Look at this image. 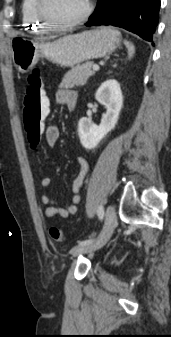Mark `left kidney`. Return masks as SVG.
<instances>
[{
	"instance_id": "1",
	"label": "left kidney",
	"mask_w": 171,
	"mask_h": 337,
	"mask_svg": "<svg viewBox=\"0 0 171 337\" xmlns=\"http://www.w3.org/2000/svg\"><path fill=\"white\" fill-rule=\"evenodd\" d=\"M95 98L106 107V114L102 117L99 126L86 117L79 120L78 135L82 146L86 149L95 148L114 129L123 105L120 84L114 79L102 83L95 94Z\"/></svg>"
}]
</instances>
